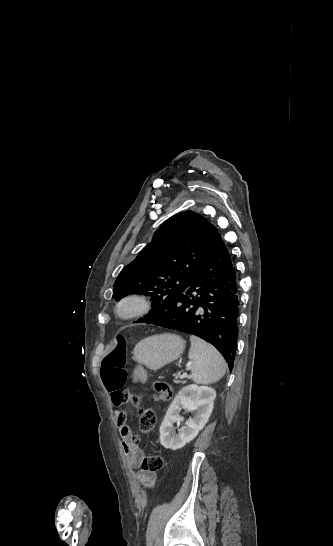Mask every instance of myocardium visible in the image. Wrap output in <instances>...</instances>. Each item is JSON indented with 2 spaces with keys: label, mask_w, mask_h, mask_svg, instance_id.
Here are the masks:
<instances>
[{
  "label": "myocardium",
  "mask_w": 333,
  "mask_h": 546,
  "mask_svg": "<svg viewBox=\"0 0 333 546\" xmlns=\"http://www.w3.org/2000/svg\"><path fill=\"white\" fill-rule=\"evenodd\" d=\"M153 302L143 292H131L121 297L114 306V314L120 321L128 322L146 315Z\"/></svg>",
  "instance_id": "f54148a6"
}]
</instances>
